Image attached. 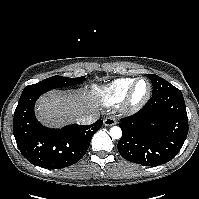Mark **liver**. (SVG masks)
Returning <instances> with one entry per match:
<instances>
[{"label":"liver","instance_id":"liver-1","mask_svg":"<svg viewBox=\"0 0 199 199\" xmlns=\"http://www.w3.org/2000/svg\"><path fill=\"white\" fill-rule=\"evenodd\" d=\"M93 112H98L96 105L83 91L68 94L52 91L40 97L36 104L38 120L50 127L63 126Z\"/></svg>","mask_w":199,"mask_h":199}]
</instances>
